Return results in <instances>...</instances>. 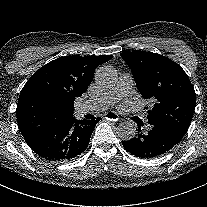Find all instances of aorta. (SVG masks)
<instances>
[{
    "mask_svg": "<svg viewBox=\"0 0 207 207\" xmlns=\"http://www.w3.org/2000/svg\"><path fill=\"white\" fill-rule=\"evenodd\" d=\"M95 80L100 87L111 89L117 83L118 73L112 66L104 65L97 69ZM116 132L122 140L129 141L136 135V126L132 122H122L117 126Z\"/></svg>",
    "mask_w": 207,
    "mask_h": 207,
    "instance_id": "1",
    "label": "aorta"
}]
</instances>
